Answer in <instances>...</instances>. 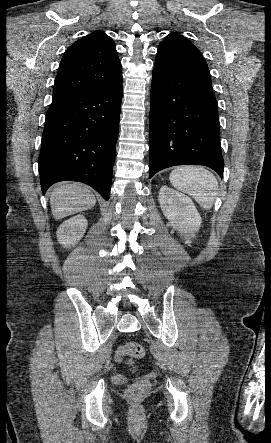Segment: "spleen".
Returning a JSON list of instances; mask_svg holds the SVG:
<instances>
[{"instance_id":"obj_1","label":"spleen","mask_w":271,"mask_h":443,"mask_svg":"<svg viewBox=\"0 0 271 443\" xmlns=\"http://www.w3.org/2000/svg\"><path fill=\"white\" fill-rule=\"evenodd\" d=\"M169 180L176 190L192 196L203 210H211L218 188L211 172L198 166H182L172 170Z\"/></svg>"}]
</instances>
